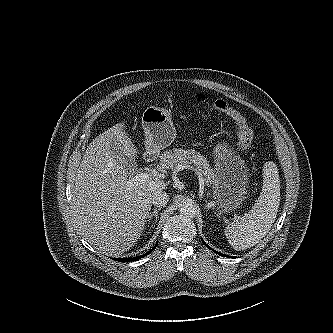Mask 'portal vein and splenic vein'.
I'll list each match as a JSON object with an SVG mask.
<instances>
[{"label":"portal vein and splenic vein","instance_id":"18ae733b","mask_svg":"<svg viewBox=\"0 0 333 333\" xmlns=\"http://www.w3.org/2000/svg\"><path fill=\"white\" fill-rule=\"evenodd\" d=\"M151 177H152V175L149 174V173H140V174H137L134 177H132L129 180V184L135 185V184H138L140 182H144V181L150 179ZM202 184H203V180H202Z\"/></svg>","mask_w":333,"mask_h":333}]
</instances>
